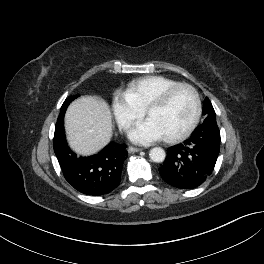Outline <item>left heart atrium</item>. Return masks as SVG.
Returning a JSON list of instances; mask_svg holds the SVG:
<instances>
[{
    "instance_id": "obj_1",
    "label": "left heart atrium",
    "mask_w": 264,
    "mask_h": 264,
    "mask_svg": "<svg viewBox=\"0 0 264 264\" xmlns=\"http://www.w3.org/2000/svg\"><path fill=\"white\" fill-rule=\"evenodd\" d=\"M132 141L140 144H149L162 139L164 136L158 126L151 120L137 123L129 132Z\"/></svg>"
}]
</instances>
